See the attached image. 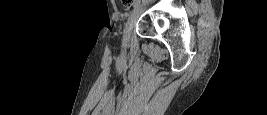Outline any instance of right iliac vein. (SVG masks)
Segmentation results:
<instances>
[{
    "label": "right iliac vein",
    "mask_w": 267,
    "mask_h": 115,
    "mask_svg": "<svg viewBox=\"0 0 267 115\" xmlns=\"http://www.w3.org/2000/svg\"><path fill=\"white\" fill-rule=\"evenodd\" d=\"M138 17H139V8L135 9L132 12L130 19L127 22L126 27H125L124 38L128 39L130 37V34L134 28V24L137 21Z\"/></svg>",
    "instance_id": "right-iliac-vein-1"
}]
</instances>
